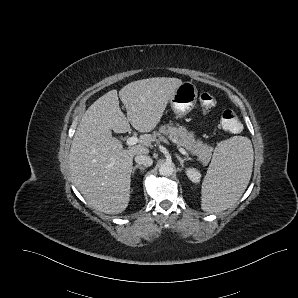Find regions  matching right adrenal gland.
Returning a JSON list of instances; mask_svg holds the SVG:
<instances>
[{"label": "right adrenal gland", "mask_w": 298, "mask_h": 298, "mask_svg": "<svg viewBox=\"0 0 298 298\" xmlns=\"http://www.w3.org/2000/svg\"><path fill=\"white\" fill-rule=\"evenodd\" d=\"M146 167H147V166H141V165L137 164V165H135V166L132 168V174H134V172H135L136 169L139 168L140 170H145Z\"/></svg>", "instance_id": "obj_1"}]
</instances>
